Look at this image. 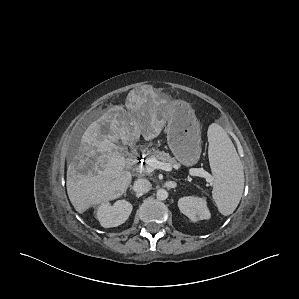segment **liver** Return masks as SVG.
<instances>
[{"label":"liver","instance_id":"1","mask_svg":"<svg viewBox=\"0 0 299 299\" xmlns=\"http://www.w3.org/2000/svg\"><path fill=\"white\" fill-rule=\"evenodd\" d=\"M113 106L85 130L77 154L67 167L68 197L78 213L90 207L119 198L132 182V174L125 171L126 160L115 142L119 139L129 146L142 134L145 140L157 137L163 128L159 111L146 99L136 105L128 101ZM108 125L104 134L101 127Z\"/></svg>","mask_w":299,"mask_h":299}]
</instances>
